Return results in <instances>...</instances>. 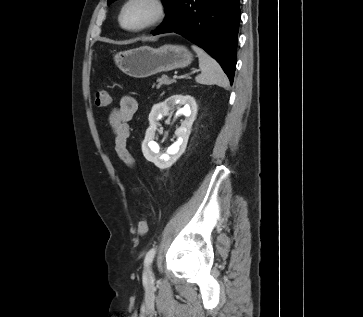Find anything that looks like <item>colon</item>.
I'll list each match as a JSON object with an SVG mask.
<instances>
[{"mask_svg":"<svg viewBox=\"0 0 363 317\" xmlns=\"http://www.w3.org/2000/svg\"><path fill=\"white\" fill-rule=\"evenodd\" d=\"M94 103L97 107H106L111 103V96L107 90H99L95 94ZM147 230V221L146 219H141L137 226V232L139 234L145 233Z\"/></svg>","mask_w":363,"mask_h":317,"instance_id":"1","label":"colon"}]
</instances>
